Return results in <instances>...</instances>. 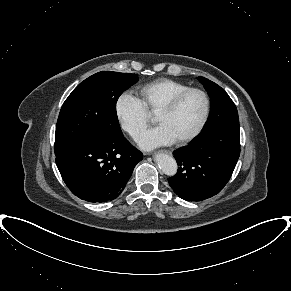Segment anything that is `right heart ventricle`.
Instances as JSON below:
<instances>
[{"mask_svg":"<svg viewBox=\"0 0 291 291\" xmlns=\"http://www.w3.org/2000/svg\"><path fill=\"white\" fill-rule=\"evenodd\" d=\"M187 88L189 86L183 82L160 78L140 86L138 95L148 112L157 113L175 94Z\"/></svg>","mask_w":291,"mask_h":291,"instance_id":"obj_1","label":"right heart ventricle"}]
</instances>
